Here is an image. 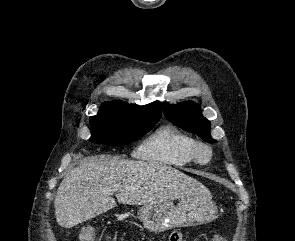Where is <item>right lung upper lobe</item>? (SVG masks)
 <instances>
[{
	"instance_id": "cb5924a9",
	"label": "right lung upper lobe",
	"mask_w": 295,
	"mask_h": 241,
	"mask_svg": "<svg viewBox=\"0 0 295 241\" xmlns=\"http://www.w3.org/2000/svg\"><path fill=\"white\" fill-rule=\"evenodd\" d=\"M115 102H120V103L125 104L128 107L135 108V109L144 111L148 114L161 117V105H160L159 101H155V102H152L150 104H147V105H144L141 107L136 106V105H129V104L124 103L122 101H115Z\"/></svg>"
}]
</instances>
